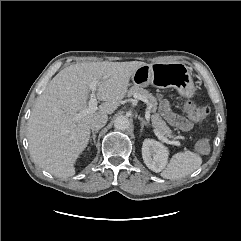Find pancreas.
Masks as SVG:
<instances>
[{"label":"pancreas","mask_w":241,"mask_h":241,"mask_svg":"<svg viewBox=\"0 0 241 241\" xmlns=\"http://www.w3.org/2000/svg\"><path fill=\"white\" fill-rule=\"evenodd\" d=\"M129 95L135 97L136 95H141L145 97L149 101L150 112L151 115L152 126L154 129L159 132L161 135L172 138V131L167 126L166 122L161 118V116L156 112L157 110V99L156 97L150 93L148 90L140 87V86H132L128 92Z\"/></svg>","instance_id":"pancreas-1"}]
</instances>
